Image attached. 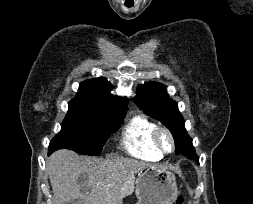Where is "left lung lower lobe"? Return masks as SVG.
<instances>
[{"label":"left lung lower lobe","instance_id":"0a47b994","mask_svg":"<svg viewBox=\"0 0 253 204\" xmlns=\"http://www.w3.org/2000/svg\"><path fill=\"white\" fill-rule=\"evenodd\" d=\"M188 157H189V158H192V159L195 160L196 162L199 161V158H198V156L196 155L195 151L192 152V153H190V154L188 155Z\"/></svg>","mask_w":253,"mask_h":204}]
</instances>
